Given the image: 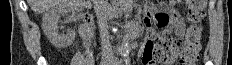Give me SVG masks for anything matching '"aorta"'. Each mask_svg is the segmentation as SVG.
Wrapping results in <instances>:
<instances>
[{
	"label": "aorta",
	"mask_w": 232,
	"mask_h": 65,
	"mask_svg": "<svg viewBox=\"0 0 232 65\" xmlns=\"http://www.w3.org/2000/svg\"><path fill=\"white\" fill-rule=\"evenodd\" d=\"M120 8L122 12L124 13L126 18H130L133 10V0H120ZM128 48V42L127 38L123 39V49L127 50Z\"/></svg>",
	"instance_id": "aorta-1"
}]
</instances>
